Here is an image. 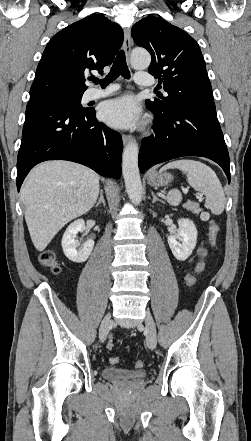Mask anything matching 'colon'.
Listing matches in <instances>:
<instances>
[{
  "mask_svg": "<svg viewBox=\"0 0 251 441\" xmlns=\"http://www.w3.org/2000/svg\"><path fill=\"white\" fill-rule=\"evenodd\" d=\"M219 225L214 222L211 221L209 224V241L211 243L212 246H214L217 242V238L219 235ZM40 263L44 266L49 268L53 273H58L60 271V268L57 264V260H56V254L53 250H46L44 251L41 255H40ZM186 283L187 285L191 286L194 284V277L192 275H189L186 278ZM114 343L113 341H109L107 344V349L108 350H112L114 348ZM120 362V359L118 357H111L110 358V363L112 365H116ZM144 365L143 361L138 360L134 363L135 368H142Z\"/></svg>",
  "mask_w": 251,
  "mask_h": 441,
  "instance_id": "obj_1",
  "label": "colon"
}]
</instances>
